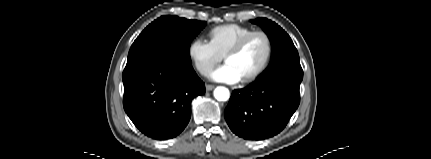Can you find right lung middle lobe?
<instances>
[{
  "instance_id": "dd1d6c3e",
  "label": "right lung middle lobe",
  "mask_w": 431,
  "mask_h": 159,
  "mask_svg": "<svg viewBox=\"0 0 431 159\" xmlns=\"http://www.w3.org/2000/svg\"><path fill=\"white\" fill-rule=\"evenodd\" d=\"M205 25L204 21L162 16L136 38L128 53V61L149 52H162L191 64L190 44Z\"/></svg>"
}]
</instances>
